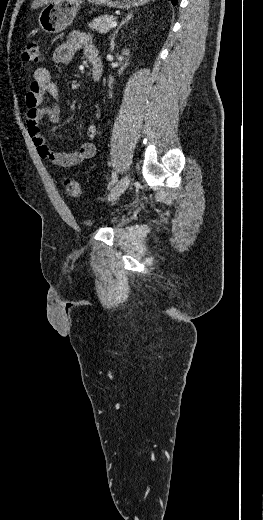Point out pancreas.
Here are the masks:
<instances>
[{"instance_id": "1", "label": "pancreas", "mask_w": 263, "mask_h": 520, "mask_svg": "<svg viewBox=\"0 0 263 520\" xmlns=\"http://www.w3.org/2000/svg\"><path fill=\"white\" fill-rule=\"evenodd\" d=\"M115 17L113 15H102L98 18H95L88 25L91 29L96 30L100 33H106L111 29V23L115 21Z\"/></svg>"}]
</instances>
